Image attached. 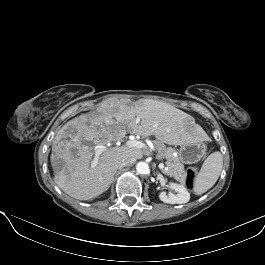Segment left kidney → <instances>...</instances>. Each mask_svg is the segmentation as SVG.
<instances>
[{"mask_svg":"<svg viewBox=\"0 0 265 265\" xmlns=\"http://www.w3.org/2000/svg\"><path fill=\"white\" fill-rule=\"evenodd\" d=\"M169 185V187L174 190L176 194L170 192L167 195L166 192L162 191L159 194V198L161 201L169 204H184L190 200V194L182 184L170 182Z\"/></svg>","mask_w":265,"mask_h":265,"instance_id":"obj_1","label":"left kidney"}]
</instances>
